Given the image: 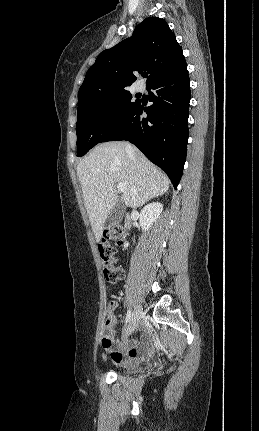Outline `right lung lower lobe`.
<instances>
[{
  "label": "right lung lower lobe",
  "mask_w": 259,
  "mask_h": 431,
  "mask_svg": "<svg viewBox=\"0 0 259 431\" xmlns=\"http://www.w3.org/2000/svg\"><path fill=\"white\" fill-rule=\"evenodd\" d=\"M190 80L187 64L153 81L147 88L149 101L138 104L102 142L126 140L137 146L169 176L176 189L186 160ZM150 89L154 91L151 92ZM145 111L147 117H142Z\"/></svg>",
  "instance_id": "obj_1"
}]
</instances>
